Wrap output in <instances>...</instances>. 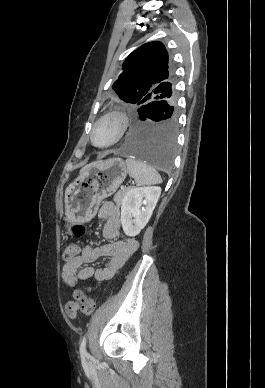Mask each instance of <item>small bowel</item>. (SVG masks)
<instances>
[{"mask_svg":"<svg viewBox=\"0 0 265 388\" xmlns=\"http://www.w3.org/2000/svg\"><path fill=\"white\" fill-rule=\"evenodd\" d=\"M97 215L105 222L102 230L103 237L111 242L100 246L87 245L82 249L80 255L63 266L62 280L69 287H73L78 279L86 281L94 277L97 281L110 280L138 248L137 240L132 237L118 239L121 212L113 202L104 203ZM102 257L109 258L106 266L90 265ZM65 311L70 318H75L78 306L74 302H69Z\"/></svg>","mask_w":265,"mask_h":388,"instance_id":"c3829d8e","label":"small bowel"}]
</instances>
